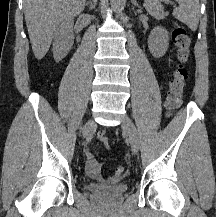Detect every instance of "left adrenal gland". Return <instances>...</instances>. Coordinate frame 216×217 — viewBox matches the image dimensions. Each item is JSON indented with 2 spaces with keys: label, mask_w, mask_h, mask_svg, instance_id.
I'll return each mask as SVG.
<instances>
[{
  "label": "left adrenal gland",
  "mask_w": 216,
  "mask_h": 217,
  "mask_svg": "<svg viewBox=\"0 0 216 217\" xmlns=\"http://www.w3.org/2000/svg\"><path fill=\"white\" fill-rule=\"evenodd\" d=\"M132 5H134L135 7L139 8V11L142 9V7L138 4V2L136 0H131Z\"/></svg>",
  "instance_id": "left-adrenal-gland-1"
}]
</instances>
